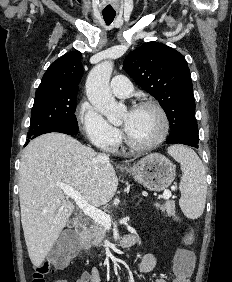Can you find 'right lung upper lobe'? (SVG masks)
I'll use <instances>...</instances> for the list:
<instances>
[{
    "instance_id": "1",
    "label": "right lung upper lobe",
    "mask_w": 232,
    "mask_h": 282,
    "mask_svg": "<svg viewBox=\"0 0 232 282\" xmlns=\"http://www.w3.org/2000/svg\"><path fill=\"white\" fill-rule=\"evenodd\" d=\"M82 76L81 53H67L49 66L36 93L77 94Z\"/></svg>"
}]
</instances>
